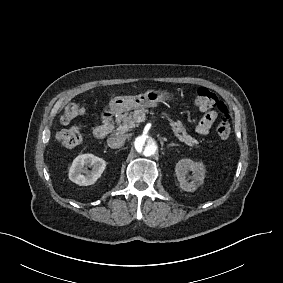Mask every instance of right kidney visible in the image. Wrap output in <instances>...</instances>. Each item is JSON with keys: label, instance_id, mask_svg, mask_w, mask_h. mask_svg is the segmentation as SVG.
<instances>
[{"label": "right kidney", "instance_id": "ca27d5eb", "mask_svg": "<svg viewBox=\"0 0 283 283\" xmlns=\"http://www.w3.org/2000/svg\"><path fill=\"white\" fill-rule=\"evenodd\" d=\"M91 166L89 171L85 166ZM106 168V162L93 154H82L77 156L69 169V179L80 185L94 184Z\"/></svg>", "mask_w": 283, "mask_h": 283}]
</instances>
